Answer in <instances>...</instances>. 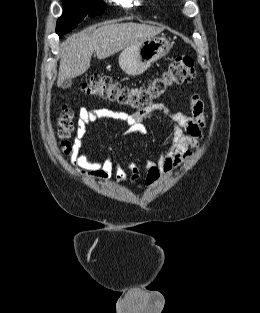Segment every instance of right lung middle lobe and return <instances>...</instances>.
<instances>
[{"label": "right lung middle lobe", "instance_id": "dd1d6c3e", "mask_svg": "<svg viewBox=\"0 0 260 313\" xmlns=\"http://www.w3.org/2000/svg\"><path fill=\"white\" fill-rule=\"evenodd\" d=\"M64 13L57 21L56 33L60 38L74 29L84 17L101 15L106 7L102 0H62Z\"/></svg>", "mask_w": 260, "mask_h": 313}]
</instances>
